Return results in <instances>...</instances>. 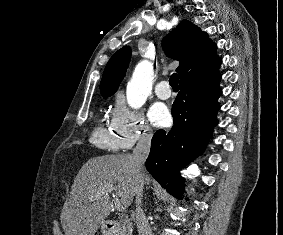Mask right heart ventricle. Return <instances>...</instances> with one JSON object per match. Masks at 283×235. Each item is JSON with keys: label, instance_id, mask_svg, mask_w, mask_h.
<instances>
[{"label": "right heart ventricle", "instance_id": "right-heart-ventricle-1", "mask_svg": "<svg viewBox=\"0 0 283 235\" xmlns=\"http://www.w3.org/2000/svg\"><path fill=\"white\" fill-rule=\"evenodd\" d=\"M92 141L96 146L109 151H117L119 149L118 137L112 126L106 123H101L95 128Z\"/></svg>", "mask_w": 283, "mask_h": 235}]
</instances>
